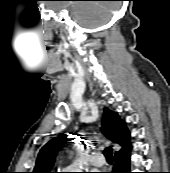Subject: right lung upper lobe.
I'll list each match as a JSON object with an SVG mask.
<instances>
[{
    "label": "right lung upper lobe",
    "instance_id": "cb5924a9",
    "mask_svg": "<svg viewBox=\"0 0 170 173\" xmlns=\"http://www.w3.org/2000/svg\"><path fill=\"white\" fill-rule=\"evenodd\" d=\"M102 133L114 143H118L125 149L130 145V132L124 121L120 119L116 112L104 109L102 119ZM67 141V135L60 134L49 141L40 150L33 173H51L57 152Z\"/></svg>",
    "mask_w": 170,
    "mask_h": 173
}]
</instances>
